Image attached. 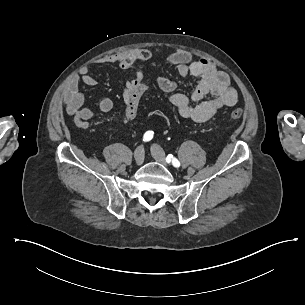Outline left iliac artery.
I'll return each mask as SVG.
<instances>
[{"label":"left iliac artery","mask_w":305,"mask_h":305,"mask_svg":"<svg viewBox=\"0 0 305 305\" xmlns=\"http://www.w3.org/2000/svg\"><path fill=\"white\" fill-rule=\"evenodd\" d=\"M166 161L167 163H170L172 161V165L174 167H179L180 166V162L173 157V155L169 154L167 157H166Z\"/></svg>","instance_id":"left-iliac-artery-1"}]
</instances>
